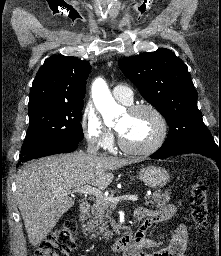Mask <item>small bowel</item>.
Returning a JSON list of instances; mask_svg holds the SVG:
<instances>
[{"instance_id":"small-bowel-1","label":"small bowel","mask_w":221,"mask_h":256,"mask_svg":"<svg viewBox=\"0 0 221 256\" xmlns=\"http://www.w3.org/2000/svg\"><path fill=\"white\" fill-rule=\"evenodd\" d=\"M176 212L172 204L158 209L138 208L135 217L141 221L136 237L130 246L124 251V256H189L187 247V230L183 224H179L175 233L168 239V245L158 250L150 251L154 247L162 245L164 240H153L146 237V231L154 224L171 219Z\"/></svg>"}]
</instances>
